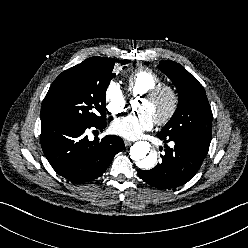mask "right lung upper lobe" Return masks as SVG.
<instances>
[{"instance_id": "right-lung-upper-lobe-1", "label": "right lung upper lobe", "mask_w": 248, "mask_h": 248, "mask_svg": "<svg viewBox=\"0 0 248 248\" xmlns=\"http://www.w3.org/2000/svg\"><path fill=\"white\" fill-rule=\"evenodd\" d=\"M99 60H108V61H114V62H118L119 60H115V59H112V58H102V57H91V58H88L86 59L85 61H83L84 63H91V62H95V61H99Z\"/></svg>"}]
</instances>
